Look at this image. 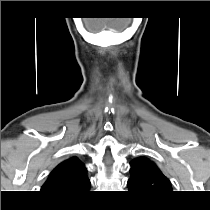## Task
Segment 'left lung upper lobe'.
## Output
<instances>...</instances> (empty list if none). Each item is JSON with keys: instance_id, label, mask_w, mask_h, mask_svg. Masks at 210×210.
<instances>
[{"instance_id": "left-lung-upper-lobe-1", "label": "left lung upper lobe", "mask_w": 210, "mask_h": 210, "mask_svg": "<svg viewBox=\"0 0 210 210\" xmlns=\"http://www.w3.org/2000/svg\"><path fill=\"white\" fill-rule=\"evenodd\" d=\"M130 165L131 177L127 183L130 191L149 196L165 195L172 191L169 179L146 157H137Z\"/></svg>"}]
</instances>
